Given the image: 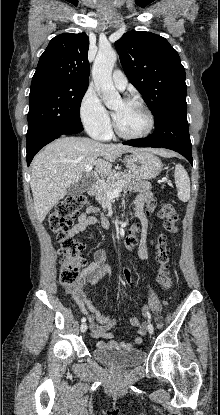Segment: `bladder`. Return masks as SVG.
<instances>
[{
    "label": "bladder",
    "instance_id": "31cf9c89",
    "mask_svg": "<svg viewBox=\"0 0 220 415\" xmlns=\"http://www.w3.org/2000/svg\"><path fill=\"white\" fill-rule=\"evenodd\" d=\"M93 356L100 362L115 368H131L140 365L145 359V352L140 349L115 351L96 345Z\"/></svg>",
    "mask_w": 220,
    "mask_h": 415
}]
</instances>
